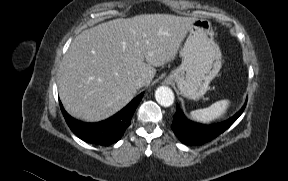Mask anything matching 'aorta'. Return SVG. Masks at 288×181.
Returning a JSON list of instances; mask_svg holds the SVG:
<instances>
[{"label": "aorta", "instance_id": "aorta-1", "mask_svg": "<svg viewBox=\"0 0 288 181\" xmlns=\"http://www.w3.org/2000/svg\"><path fill=\"white\" fill-rule=\"evenodd\" d=\"M155 98L161 106L169 107L174 102V93L169 87L161 86L155 91Z\"/></svg>", "mask_w": 288, "mask_h": 181}]
</instances>
